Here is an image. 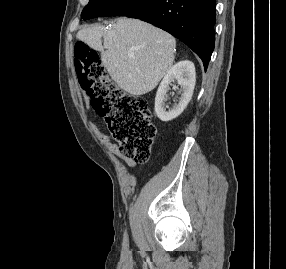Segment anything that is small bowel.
Instances as JSON below:
<instances>
[{"instance_id": "obj_1", "label": "small bowel", "mask_w": 286, "mask_h": 269, "mask_svg": "<svg viewBox=\"0 0 286 269\" xmlns=\"http://www.w3.org/2000/svg\"><path fill=\"white\" fill-rule=\"evenodd\" d=\"M102 140H103L104 144L107 145L108 147L112 148V149L114 150V152H116V153L118 154V156H119L129 167H132V168L137 167L138 164H137L136 161H134V160H132V159H130V158H128V157L122 155L120 152H118V150H117L115 147H113L105 137H103Z\"/></svg>"}]
</instances>
